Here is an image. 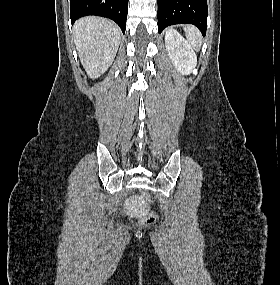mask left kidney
Here are the masks:
<instances>
[{
    "mask_svg": "<svg viewBox=\"0 0 280 285\" xmlns=\"http://www.w3.org/2000/svg\"><path fill=\"white\" fill-rule=\"evenodd\" d=\"M165 46L173 65L182 75L190 74L196 67L197 57L188 42L174 29L165 34Z\"/></svg>",
    "mask_w": 280,
    "mask_h": 285,
    "instance_id": "obj_1",
    "label": "left kidney"
}]
</instances>
